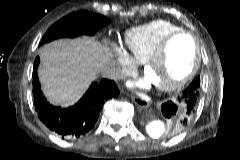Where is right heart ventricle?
Returning <instances> with one entry per match:
<instances>
[{
    "mask_svg": "<svg viewBox=\"0 0 240 160\" xmlns=\"http://www.w3.org/2000/svg\"><path fill=\"white\" fill-rule=\"evenodd\" d=\"M178 30L181 28L166 20L134 27L125 33L128 55L134 61L144 63L167 35Z\"/></svg>",
    "mask_w": 240,
    "mask_h": 160,
    "instance_id": "right-heart-ventricle-1",
    "label": "right heart ventricle"
}]
</instances>
